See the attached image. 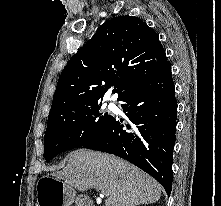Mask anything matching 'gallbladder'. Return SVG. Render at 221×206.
Returning <instances> with one entry per match:
<instances>
[{
	"label": "gallbladder",
	"instance_id": "obj_1",
	"mask_svg": "<svg viewBox=\"0 0 221 206\" xmlns=\"http://www.w3.org/2000/svg\"><path fill=\"white\" fill-rule=\"evenodd\" d=\"M96 201H97V202H100V201H101V198H100V197H97V198H96Z\"/></svg>",
	"mask_w": 221,
	"mask_h": 206
}]
</instances>
